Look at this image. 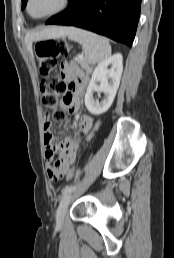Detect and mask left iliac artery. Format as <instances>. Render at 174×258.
Wrapping results in <instances>:
<instances>
[{
  "label": "left iliac artery",
  "instance_id": "44dca946",
  "mask_svg": "<svg viewBox=\"0 0 174 258\" xmlns=\"http://www.w3.org/2000/svg\"><path fill=\"white\" fill-rule=\"evenodd\" d=\"M76 188H77L76 185H69V186H66V187L63 188V190H62V194L70 193V192L74 191Z\"/></svg>",
  "mask_w": 174,
  "mask_h": 258
}]
</instances>
